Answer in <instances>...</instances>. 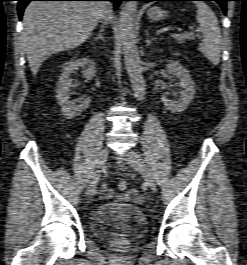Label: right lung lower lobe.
I'll use <instances>...</instances> for the list:
<instances>
[{"mask_svg":"<svg viewBox=\"0 0 247 265\" xmlns=\"http://www.w3.org/2000/svg\"><path fill=\"white\" fill-rule=\"evenodd\" d=\"M31 1H111L114 3V7L117 8L121 1H126V0H18V14L19 18H22L23 11L25 7L28 5L29 2Z\"/></svg>","mask_w":247,"mask_h":265,"instance_id":"obj_1","label":"right lung lower lobe"}]
</instances>
